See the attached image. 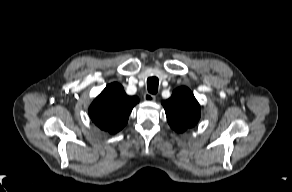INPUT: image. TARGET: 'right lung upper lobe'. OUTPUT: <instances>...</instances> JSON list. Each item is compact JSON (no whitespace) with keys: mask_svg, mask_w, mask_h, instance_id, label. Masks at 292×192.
<instances>
[{"mask_svg":"<svg viewBox=\"0 0 292 192\" xmlns=\"http://www.w3.org/2000/svg\"><path fill=\"white\" fill-rule=\"evenodd\" d=\"M138 102V97L126 95L124 88L114 82L107 85L90 105L89 116L100 129L115 134L126 125Z\"/></svg>","mask_w":292,"mask_h":192,"instance_id":"right-lung-upper-lobe-1","label":"right lung upper lobe"}]
</instances>
